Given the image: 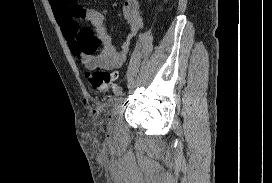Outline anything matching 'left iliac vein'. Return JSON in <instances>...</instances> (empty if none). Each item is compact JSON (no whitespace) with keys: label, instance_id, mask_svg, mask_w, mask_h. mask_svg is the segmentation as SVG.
<instances>
[{"label":"left iliac vein","instance_id":"obj_1","mask_svg":"<svg viewBox=\"0 0 272 183\" xmlns=\"http://www.w3.org/2000/svg\"><path fill=\"white\" fill-rule=\"evenodd\" d=\"M122 100H123V95H120L115 99V106H117V108L119 107Z\"/></svg>","mask_w":272,"mask_h":183}]
</instances>
